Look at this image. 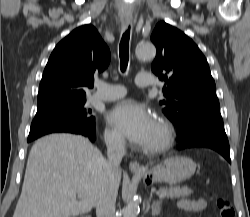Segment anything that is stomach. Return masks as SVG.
<instances>
[{"label":"stomach","mask_w":250,"mask_h":217,"mask_svg":"<svg viewBox=\"0 0 250 217\" xmlns=\"http://www.w3.org/2000/svg\"><path fill=\"white\" fill-rule=\"evenodd\" d=\"M196 164L187 157H170L151 167L141 176L147 183L177 184L193 176Z\"/></svg>","instance_id":"1"}]
</instances>
